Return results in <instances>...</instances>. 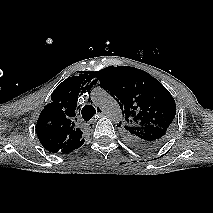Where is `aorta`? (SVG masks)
Returning a JSON list of instances; mask_svg holds the SVG:
<instances>
[{
    "instance_id": "1",
    "label": "aorta",
    "mask_w": 213,
    "mask_h": 213,
    "mask_svg": "<svg viewBox=\"0 0 213 213\" xmlns=\"http://www.w3.org/2000/svg\"><path fill=\"white\" fill-rule=\"evenodd\" d=\"M91 99L95 105L102 109L105 115L113 122L122 120V111L117 101L104 89L95 88Z\"/></svg>"
}]
</instances>
